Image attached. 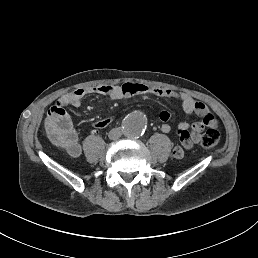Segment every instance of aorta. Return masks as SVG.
Segmentation results:
<instances>
[{
    "label": "aorta",
    "instance_id": "762f6f07",
    "mask_svg": "<svg viewBox=\"0 0 258 258\" xmlns=\"http://www.w3.org/2000/svg\"><path fill=\"white\" fill-rule=\"evenodd\" d=\"M146 126V116L140 111H134L124 118L122 131L129 138H138L145 132Z\"/></svg>",
    "mask_w": 258,
    "mask_h": 258
}]
</instances>
